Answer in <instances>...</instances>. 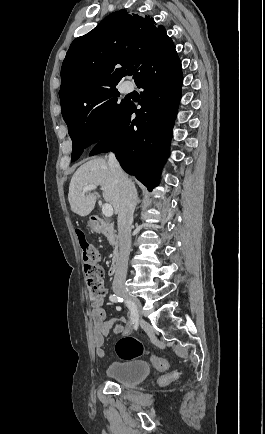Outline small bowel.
I'll return each instance as SVG.
<instances>
[{"label": "small bowel", "instance_id": "small-bowel-1", "mask_svg": "<svg viewBox=\"0 0 265 434\" xmlns=\"http://www.w3.org/2000/svg\"><path fill=\"white\" fill-rule=\"evenodd\" d=\"M91 306V315L93 319L92 341L97 356L99 358H104L105 352L103 350V345L109 332L114 329L116 332L125 333L127 328L118 325L119 321H124L123 318H107V311L103 307L102 298L91 297ZM156 368L158 370H167L169 368V361L163 358H158V365Z\"/></svg>", "mask_w": 265, "mask_h": 434}]
</instances>
